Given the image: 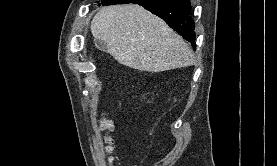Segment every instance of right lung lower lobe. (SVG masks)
<instances>
[{
    "instance_id": "right-lung-lower-lobe-1",
    "label": "right lung lower lobe",
    "mask_w": 277,
    "mask_h": 166,
    "mask_svg": "<svg viewBox=\"0 0 277 166\" xmlns=\"http://www.w3.org/2000/svg\"><path fill=\"white\" fill-rule=\"evenodd\" d=\"M136 3L161 17L184 39L195 44L194 25L188 0H115L112 4ZM195 48V45L193 46Z\"/></svg>"
}]
</instances>
